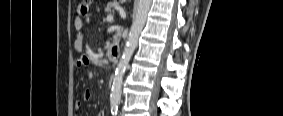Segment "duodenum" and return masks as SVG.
<instances>
[{"label":"duodenum","mask_w":283,"mask_h":116,"mask_svg":"<svg viewBox=\"0 0 283 116\" xmlns=\"http://www.w3.org/2000/svg\"><path fill=\"white\" fill-rule=\"evenodd\" d=\"M119 47L113 44L108 46V58L110 61H117L119 57Z\"/></svg>","instance_id":"410a0bca"}]
</instances>
